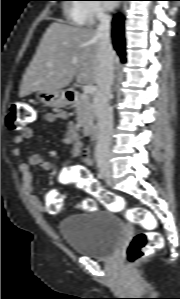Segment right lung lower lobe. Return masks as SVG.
<instances>
[{"mask_svg": "<svg viewBox=\"0 0 180 299\" xmlns=\"http://www.w3.org/2000/svg\"><path fill=\"white\" fill-rule=\"evenodd\" d=\"M112 41L120 59L125 63L124 23L121 15H116L112 21Z\"/></svg>", "mask_w": 180, "mask_h": 299, "instance_id": "1", "label": "right lung lower lobe"}]
</instances>
